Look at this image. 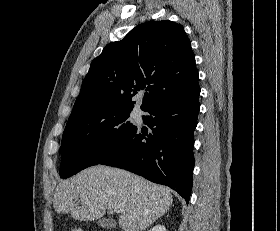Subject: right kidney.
Instances as JSON below:
<instances>
[{"label": "right kidney", "instance_id": "1", "mask_svg": "<svg viewBox=\"0 0 280 231\" xmlns=\"http://www.w3.org/2000/svg\"><path fill=\"white\" fill-rule=\"evenodd\" d=\"M149 231H166L165 225H154Z\"/></svg>", "mask_w": 280, "mask_h": 231}]
</instances>
